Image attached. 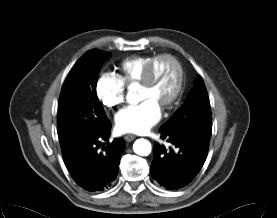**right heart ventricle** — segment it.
Here are the masks:
<instances>
[{
  "label": "right heart ventricle",
  "mask_w": 277,
  "mask_h": 218,
  "mask_svg": "<svg viewBox=\"0 0 277 218\" xmlns=\"http://www.w3.org/2000/svg\"><path fill=\"white\" fill-rule=\"evenodd\" d=\"M153 55L135 56L126 59L121 64L122 78L127 84L140 83Z\"/></svg>",
  "instance_id": "e07e8e85"
}]
</instances>
